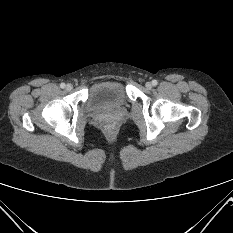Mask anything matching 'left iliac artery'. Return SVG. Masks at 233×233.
<instances>
[{
	"label": "left iliac artery",
	"instance_id": "obj_1",
	"mask_svg": "<svg viewBox=\"0 0 233 233\" xmlns=\"http://www.w3.org/2000/svg\"><path fill=\"white\" fill-rule=\"evenodd\" d=\"M158 84L157 80H152V85L156 86Z\"/></svg>",
	"mask_w": 233,
	"mask_h": 233
}]
</instances>
